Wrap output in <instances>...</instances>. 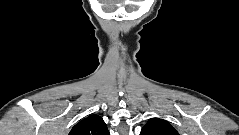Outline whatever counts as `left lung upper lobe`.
I'll return each instance as SVG.
<instances>
[{"label": "left lung upper lobe", "mask_w": 239, "mask_h": 135, "mask_svg": "<svg viewBox=\"0 0 239 135\" xmlns=\"http://www.w3.org/2000/svg\"><path fill=\"white\" fill-rule=\"evenodd\" d=\"M140 135H179V134L167 121L160 118H151L142 128Z\"/></svg>", "instance_id": "obj_1"}]
</instances>
